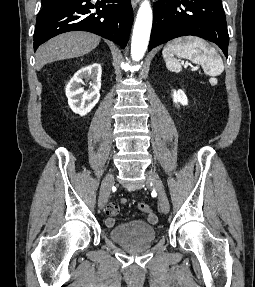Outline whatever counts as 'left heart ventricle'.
I'll return each mask as SVG.
<instances>
[{
    "label": "left heart ventricle",
    "mask_w": 255,
    "mask_h": 287,
    "mask_svg": "<svg viewBox=\"0 0 255 287\" xmlns=\"http://www.w3.org/2000/svg\"><path fill=\"white\" fill-rule=\"evenodd\" d=\"M149 48H161V47H149Z\"/></svg>",
    "instance_id": "left-heart-ventricle-1"
}]
</instances>
